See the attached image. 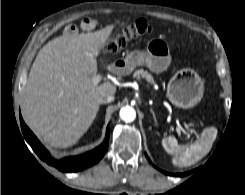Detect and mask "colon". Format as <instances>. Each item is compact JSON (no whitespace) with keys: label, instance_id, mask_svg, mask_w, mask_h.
Segmentation results:
<instances>
[{"label":"colon","instance_id":"5ec220e1","mask_svg":"<svg viewBox=\"0 0 245 195\" xmlns=\"http://www.w3.org/2000/svg\"><path fill=\"white\" fill-rule=\"evenodd\" d=\"M149 30V24L144 19L134 20L119 29L108 43L106 51L108 53H116L123 49L129 42L139 40Z\"/></svg>","mask_w":245,"mask_h":195}]
</instances>
